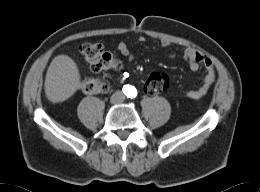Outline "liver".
I'll use <instances>...</instances> for the list:
<instances>
[{
  "instance_id": "liver-1",
  "label": "liver",
  "mask_w": 260,
  "mask_h": 192,
  "mask_svg": "<svg viewBox=\"0 0 260 192\" xmlns=\"http://www.w3.org/2000/svg\"><path fill=\"white\" fill-rule=\"evenodd\" d=\"M80 88V72L74 60L58 55L50 63L45 78L47 98L58 103L70 98Z\"/></svg>"
}]
</instances>
